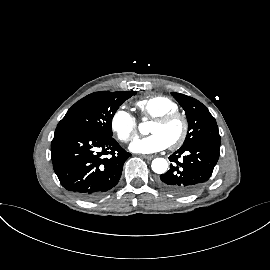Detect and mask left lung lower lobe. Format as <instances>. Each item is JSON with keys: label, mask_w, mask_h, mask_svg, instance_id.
Wrapping results in <instances>:
<instances>
[{"label": "left lung lower lobe", "mask_w": 270, "mask_h": 270, "mask_svg": "<svg viewBox=\"0 0 270 270\" xmlns=\"http://www.w3.org/2000/svg\"><path fill=\"white\" fill-rule=\"evenodd\" d=\"M219 150L220 145L203 142L181 147L169 157L172 164L166 173L160 175L159 185L175 195L194 193L212 175Z\"/></svg>", "instance_id": "obj_1"}]
</instances>
